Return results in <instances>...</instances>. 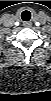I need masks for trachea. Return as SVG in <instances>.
<instances>
[{"label": "trachea", "mask_w": 51, "mask_h": 101, "mask_svg": "<svg viewBox=\"0 0 51 101\" xmlns=\"http://www.w3.org/2000/svg\"><path fill=\"white\" fill-rule=\"evenodd\" d=\"M21 18L23 21H29L31 19V13L25 10L21 13Z\"/></svg>", "instance_id": "trachea-1"}]
</instances>
